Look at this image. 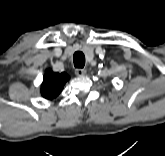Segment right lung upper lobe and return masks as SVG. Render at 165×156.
<instances>
[{
  "mask_svg": "<svg viewBox=\"0 0 165 156\" xmlns=\"http://www.w3.org/2000/svg\"><path fill=\"white\" fill-rule=\"evenodd\" d=\"M68 80L69 76L66 73H55L48 70L41 85L42 96L46 99L57 97Z\"/></svg>",
  "mask_w": 165,
  "mask_h": 156,
  "instance_id": "cb5924a9",
  "label": "right lung upper lobe"
}]
</instances>
